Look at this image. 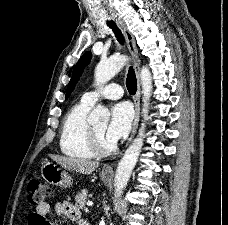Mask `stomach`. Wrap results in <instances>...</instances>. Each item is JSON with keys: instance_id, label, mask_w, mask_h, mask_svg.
<instances>
[{"instance_id": "obj_1", "label": "stomach", "mask_w": 228, "mask_h": 225, "mask_svg": "<svg viewBox=\"0 0 228 225\" xmlns=\"http://www.w3.org/2000/svg\"><path fill=\"white\" fill-rule=\"evenodd\" d=\"M41 175L46 183L56 185V187H63V189H67V187H71L72 185L73 179H71L67 171H63V169H60L58 165H54V163H50V161H46V163H44L41 169ZM100 177L105 185L109 183L110 179H108V177H104L103 173H101Z\"/></svg>"}]
</instances>
